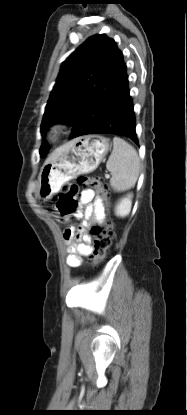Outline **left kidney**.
<instances>
[{"label": "left kidney", "instance_id": "obj_1", "mask_svg": "<svg viewBox=\"0 0 187 415\" xmlns=\"http://www.w3.org/2000/svg\"><path fill=\"white\" fill-rule=\"evenodd\" d=\"M131 198L132 194H129L118 202L115 207V213L117 216L125 217L130 213L132 206Z\"/></svg>", "mask_w": 187, "mask_h": 415}]
</instances>
